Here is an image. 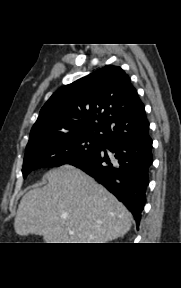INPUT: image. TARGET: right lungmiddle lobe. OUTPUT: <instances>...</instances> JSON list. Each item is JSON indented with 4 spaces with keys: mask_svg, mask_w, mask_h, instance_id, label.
<instances>
[{
    "mask_svg": "<svg viewBox=\"0 0 181 288\" xmlns=\"http://www.w3.org/2000/svg\"><path fill=\"white\" fill-rule=\"evenodd\" d=\"M104 142L83 134H52L28 142L23 163V177L34 169L72 164L99 152Z\"/></svg>",
    "mask_w": 181,
    "mask_h": 288,
    "instance_id": "1",
    "label": "right lung middle lobe"
}]
</instances>
